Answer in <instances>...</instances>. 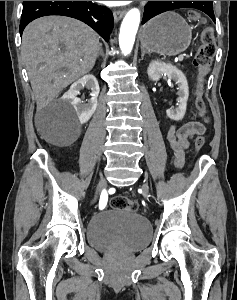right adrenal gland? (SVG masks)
Returning a JSON list of instances; mask_svg holds the SVG:
<instances>
[{
	"label": "right adrenal gland",
	"instance_id": "1",
	"mask_svg": "<svg viewBox=\"0 0 237 300\" xmlns=\"http://www.w3.org/2000/svg\"><path fill=\"white\" fill-rule=\"evenodd\" d=\"M99 55H102V57H104V53H103V49H102V45H100V51H99Z\"/></svg>",
	"mask_w": 237,
	"mask_h": 300
}]
</instances>
